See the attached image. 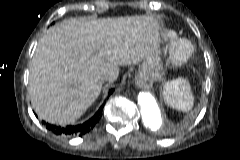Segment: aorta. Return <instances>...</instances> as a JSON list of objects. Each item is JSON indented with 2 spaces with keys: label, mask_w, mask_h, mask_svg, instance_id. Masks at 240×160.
Instances as JSON below:
<instances>
[{
  "label": "aorta",
  "mask_w": 240,
  "mask_h": 160,
  "mask_svg": "<svg viewBox=\"0 0 240 160\" xmlns=\"http://www.w3.org/2000/svg\"><path fill=\"white\" fill-rule=\"evenodd\" d=\"M138 104L144 125L152 130H157L162 121L160 108L152 94L141 92L138 95Z\"/></svg>",
  "instance_id": "aorta-1"
}]
</instances>
